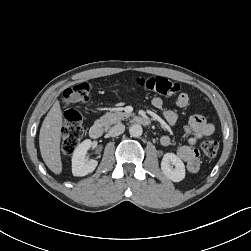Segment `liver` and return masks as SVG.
I'll use <instances>...</instances> for the list:
<instances>
[{"label": "liver", "instance_id": "1", "mask_svg": "<svg viewBox=\"0 0 251 251\" xmlns=\"http://www.w3.org/2000/svg\"><path fill=\"white\" fill-rule=\"evenodd\" d=\"M63 118L58 100L46 115L39 134V147L43 161L55 174L62 172L60 155L61 128Z\"/></svg>", "mask_w": 251, "mask_h": 251}]
</instances>
